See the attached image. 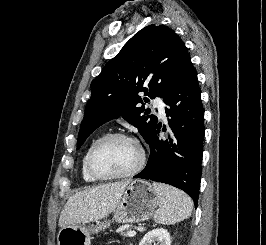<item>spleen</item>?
Returning <instances> with one entry per match:
<instances>
[{
	"mask_svg": "<svg viewBox=\"0 0 266 245\" xmlns=\"http://www.w3.org/2000/svg\"><path fill=\"white\" fill-rule=\"evenodd\" d=\"M152 187L161 205L153 217L155 223L175 225L191 217L193 201L186 193L169 185H161V183H152Z\"/></svg>",
	"mask_w": 266,
	"mask_h": 245,
	"instance_id": "obj_1",
	"label": "spleen"
}]
</instances>
